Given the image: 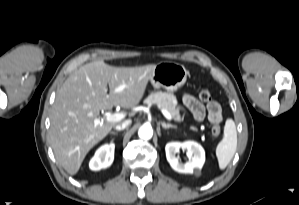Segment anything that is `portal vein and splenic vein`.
<instances>
[{
    "label": "portal vein and splenic vein",
    "mask_w": 299,
    "mask_h": 205,
    "mask_svg": "<svg viewBox=\"0 0 299 205\" xmlns=\"http://www.w3.org/2000/svg\"><path fill=\"white\" fill-rule=\"evenodd\" d=\"M123 87H119L116 89V91H120L122 90ZM161 112L162 114L164 115V117L167 119V120H171L172 119V116L170 115V113L168 111H166L165 109H161ZM125 117V115L123 113H110V114H107L105 116V120L108 121V122H119L121 121L123 118ZM94 123L95 124H99L100 123V119L99 118H96L94 120Z\"/></svg>",
    "instance_id": "1"
}]
</instances>
